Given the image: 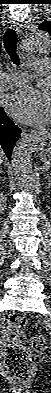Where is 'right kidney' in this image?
I'll return each mask as SVG.
<instances>
[{"label":"right kidney","instance_id":"ca27d5eb","mask_svg":"<svg viewBox=\"0 0 51 393\" xmlns=\"http://www.w3.org/2000/svg\"><path fill=\"white\" fill-rule=\"evenodd\" d=\"M5 206H6V198H4L3 195L1 194V196H0V207H1V210H4Z\"/></svg>","mask_w":51,"mask_h":393}]
</instances>
